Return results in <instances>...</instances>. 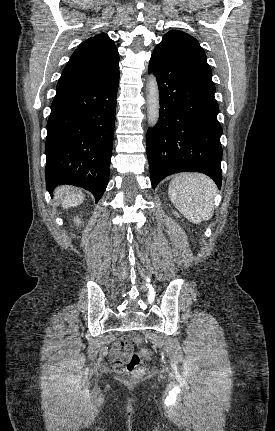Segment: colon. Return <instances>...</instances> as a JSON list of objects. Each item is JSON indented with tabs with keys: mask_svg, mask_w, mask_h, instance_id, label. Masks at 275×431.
Returning a JSON list of instances; mask_svg holds the SVG:
<instances>
[{
	"mask_svg": "<svg viewBox=\"0 0 275 431\" xmlns=\"http://www.w3.org/2000/svg\"><path fill=\"white\" fill-rule=\"evenodd\" d=\"M124 342L127 345L134 344H141L142 338L140 335H134L132 337H126L124 338ZM150 353L146 349H141L129 358V360L125 363L126 370L134 377L140 376L144 369H145V362L149 358Z\"/></svg>",
	"mask_w": 275,
	"mask_h": 431,
	"instance_id": "colon-1",
	"label": "colon"
}]
</instances>
